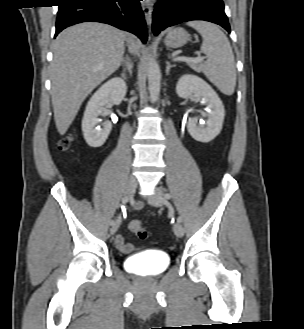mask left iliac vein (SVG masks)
<instances>
[{
	"instance_id": "4c4485c4",
	"label": "left iliac vein",
	"mask_w": 304,
	"mask_h": 329,
	"mask_svg": "<svg viewBox=\"0 0 304 329\" xmlns=\"http://www.w3.org/2000/svg\"><path fill=\"white\" fill-rule=\"evenodd\" d=\"M150 203L155 207H161L165 203L163 191L160 188L155 189V194L150 197ZM174 233L177 237L184 235V228L179 222L174 225Z\"/></svg>"
}]
</instances>
